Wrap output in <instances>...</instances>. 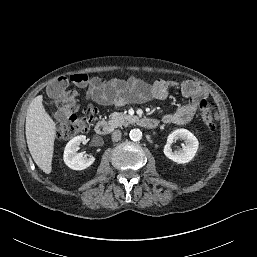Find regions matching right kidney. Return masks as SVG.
I'll return each mask as SVG.
<instances>
[{"label":"right kidney","instance_id":"right-kidney-1","mask_svg":"<svg viewBox=\"0 0 257 257\" xmlns=\"http://www.w3.org/2000/svg\"><path fill=\"white\" fill-rule=\"evenodd\" d=\"M84 142H86V136H76L67 143L64 149L63 160L73 170H84L95 161V158L92 156L83 158L82 153H77L80 143Z\"/></svg>","mask_w":257,"mask_h":257}]
</instances>
